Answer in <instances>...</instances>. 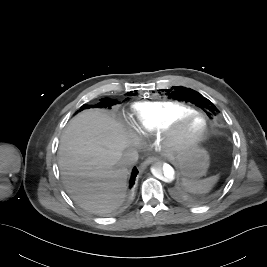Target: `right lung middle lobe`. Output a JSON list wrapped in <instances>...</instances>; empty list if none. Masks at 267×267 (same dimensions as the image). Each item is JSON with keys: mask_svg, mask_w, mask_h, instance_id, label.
<instances>
[{"mask_svg": "<svg viewBox=\"0 0 267 267\" xmlns=\"http://www.w3.org/2000/svg\"><path fill=\"white\" fill-rule=\"evenodd\" d=\"M103 101L100 102L99 104L97 105H92V106H87V105H83V107H81V109H84V108H95V107H111L112 105H114V102L113 101H110L109 99H102Z\"/></svg>", "mask_w": 267, "mask_h": 267, "instance_id": "dd1d6c3e", "label": "right lung middle lobe"}]
</instances>
